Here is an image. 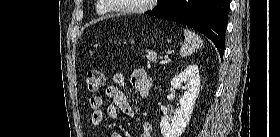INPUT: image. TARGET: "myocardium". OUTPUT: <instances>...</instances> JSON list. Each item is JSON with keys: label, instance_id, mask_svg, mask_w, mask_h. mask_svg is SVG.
Instances as JSON below:
<instances>
[{"label": "myocardium", "instance_id": "f54148a6", "mask_svg": "<svg viewBox=\"0 0 280 137\" xmlns=\"http://www.w3.org/2000/svg\"><path fill=\"white\" fill-rule=\"evenodd\" d=\"M154 2L155 0H143V3L141 5L121 8V9H117L116 11L123 14H138L148 10ZM108 6L112 9L114 8V6L111 4H109Z\"/></svg>", "mask_w": 280, "mask_h": 137}]
</instances>
